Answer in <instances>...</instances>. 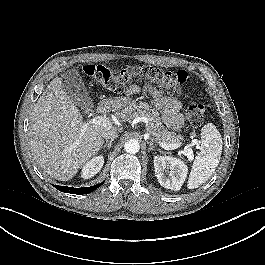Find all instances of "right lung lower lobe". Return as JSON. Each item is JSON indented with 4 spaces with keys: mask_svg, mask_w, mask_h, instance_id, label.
I'll return each instance as SVG.
<instances>
[{
    "mask_svg": "<svg viewBox=\"0 0 265 265\" xmlns=\"http://www.w3.org/2000/svg\"><path fill=\"white\" fill-rule=\"evenodd\" d=\"M101 184L98 185H94L91 187H82V188H73V187H66V186H59V185H55V188L58 189L59 191L65 192V193H70V194H87L90 193L92 191H94L95 189L99 188Z\"/></svg>",
    "mask_w": 265,
    "mask_h": 265,
    "instance_id": "right-lung-lower-lobe-1",
    "label": "right lung lower lobe"
}]
</instances>
